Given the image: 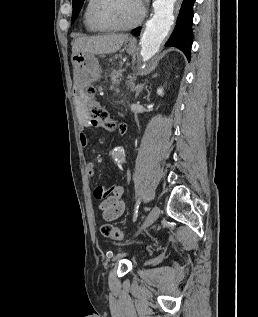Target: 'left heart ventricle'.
<instances>
[{"label":"left heart ventricle","instance_id":"b2bd125f","mask_svg":"<svg viewBox=\"0 0 258 317\" xmlns=\"http://www.w3.org/2000/svg\"><path fill=\"white\" fill-rule=\"evenodd\" d=\"M96 15L106 24L130 27L138 18V8L130 0L108 1L97 8Z\"/></svg>","mask_w":258,"mask_h":317}]
</instances>
